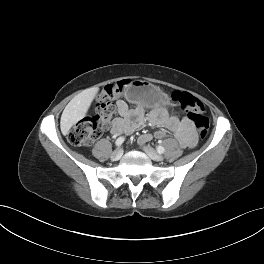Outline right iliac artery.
I'll list each match as a JSON object with an SVG mask.
<instances>
[{
    "label": "right iliac artery",
    "mask_w": 264,
    "mask_h": 264,
    "mask_svg": "<svg viewBox=\"0 0 264 264\" xmlns=\"http://www.w3.org/2000/svg\"><path fill=\"white\" fill-rule=\"evenodd\" d=\"M125 141V138L124 137H119L116 142H115V145L117 147L121 146L123 144V142Z\"/></svg>",
    "instance_id": "obj_1"
}]
</instances>
